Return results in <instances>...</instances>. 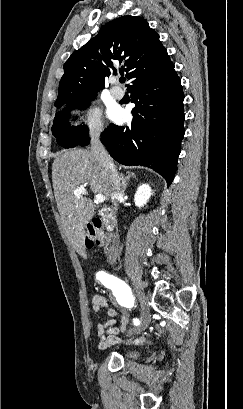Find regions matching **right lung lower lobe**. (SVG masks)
<instances>
[{
  "instance_id": "obj_1",
  "label": "right lung lower lobe",
  "mask_w": 243,
  "mask_h": 409,
  "mask_svg": "<svg viewBox=\"0 0 243 409\" xmlns=\"http://www.w3.org/2000/svg\"><path fill=\"white\" fill-rule=\"evenodd\" d=\"M136 106L130 127L111 124L101 135L110 155L124 165H142L173 181L184 136V94L174 65L167 71L132 85ZM90 138L79 145L86 146Z\"/></svg>"
}]
</instances>
